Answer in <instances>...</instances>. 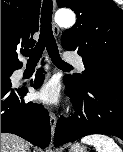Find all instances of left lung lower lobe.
Here are the masks:
<instances>
[{
  "label": "left lung lower lobe",
  "mask_w": 123,
  "mask_h": 152,
  "mask_svg": "<svg viewBox=\"0 0 123 152\" xmlns=\"http://www.w3.org/2000/svg\"><path fill=\"white\" fill-rule=\"evenodd\" d=\"M64 82L76 114L74 118L59 119L55 146L91 134H108L123 140V79L96 78L84 88L77 87L67 76Z\"/></svg>",
  "instance_id": "0a47b994"
}]
</instances>
